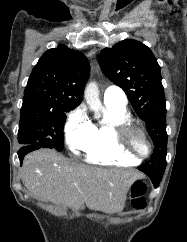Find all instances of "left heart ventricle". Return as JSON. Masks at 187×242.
Listing matches in <instances>:
<instances>
[{
  "mask_svg": "<svg viewBox=\"0 0 187 242\" xmlns=\"http://www.w3.org/2000/svg\"><path fill=\"white\" fill-rule=\"evenodd\" d=\"M128 146L130 150L138 156H143L148 151V145L141 134L133 132L128 137Z\"/></svg>",
  "mask_w": 187,
  "mask_h": 242,
  "instance_id": "b2bd125f",
  "label": "left heart ventricle"
}]
</instances>
